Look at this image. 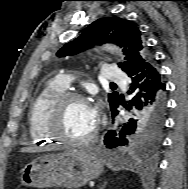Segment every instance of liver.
Wrapping results in <instances>:
<instances>
[{
    "label": "liver",
    "mask_w": 188,
    "mask_h": 189,
    "mask_svg": "<svg viewBox=\"0 0 188 189\" xmlns=\"http://www.w3.org/2000/svg\"><path fill=\"white\" fill-rule=\"evenodd\" d=\"M30 150H34V149H31V148H22L21 152H26V151H30Z\"/></svg>",
    "instance_id": "liver-1"
}]
</instances>
